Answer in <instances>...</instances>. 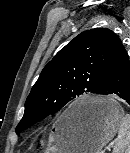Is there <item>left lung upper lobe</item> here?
Masks as SVG:
<instances>
[{
	"label": "left lung upper lobe",
	"mask_w": 130,
	"mask_h": 153,
	"mask_svg": "<svg viewBox=\"0 0 130 153\" xmlns=\"http://www.w3.org/2000/svg\"><path fill=\"white\" fill-rule=\"evenodd\" d=\"M121 44L107 28L86 30L70 41L43 68L26 99L16 133L58 112L80 95L98 94L105 70Z\"/></svg>",
	"instance_id": "left-lung-upper-lobe-1"
}]
</instances>
